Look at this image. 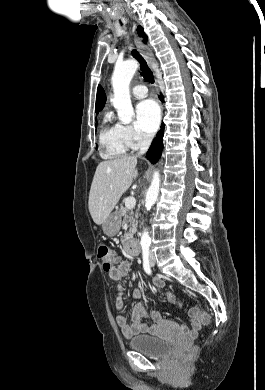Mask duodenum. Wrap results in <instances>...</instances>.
Wrapping results in <instances>:
<instances>
[{
    "mask_svg": "<svg viewBox=\"0 0 265 390\" xmlns=\"http://www.w3.org/2000/svg\"><path fill=\"white\" fill-rule=\"evenodd\" d=\"M127 251L132 255H139L141 252V247L138 241L135 239L127 243Z\"/></svg>",
    "mask_w": 265,
    "mask_h": 390,
    "instance_id": "1",
    "label": "duodenum"
}]
</instances>
